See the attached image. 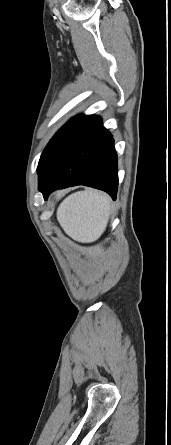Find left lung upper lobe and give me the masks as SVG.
Wrapping results in <instances>:
<instances>
[{
	"label": "left lung upper lobe",
	"instance_id": "obj_1",
	"mask_svg": "<svg viewBox=\"0 0 171 445\" xmlns=\"http://www.w3.org/2000/svg\"><path fill=\"white\" fill-rule=\"evenodd\" d=\"M83 115L76 116L72 118L66 125H64L50 140L46 148L44 149L41 158L39 160V166L38 170L40 169L41 165L44 163L50 152L53 150V148L56 146V144L59 142V140L64 136V134L74 125L76 124Z\"/></svg>",
	"mask_w": 171,
	"mask_h": 445
}]
</instances>
